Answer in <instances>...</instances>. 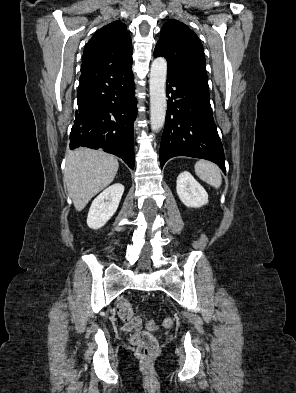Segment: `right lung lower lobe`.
Instances as JSON below:
<instances>
[{
	"label": "right lung lower lobe",
	"instance_id": "1",
	"mask_svg": "<svg viewBox=\"0 0 296 393\" xmlns=\"http://www.w3.org/2000/svg\"><path fill=\"white\" fill-rule=\"evenodd\" d=\"M132 60L119 64L82 63L78 109L70 149H103L134 169V127L137 115Z\"/></svg>",
	"mask_w": 296,
	"mask_h": 393
}]
</instances>
